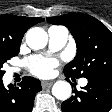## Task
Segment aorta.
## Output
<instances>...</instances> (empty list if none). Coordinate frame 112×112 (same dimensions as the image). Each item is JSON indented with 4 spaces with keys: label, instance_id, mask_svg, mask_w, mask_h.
Masks as SVG:
<instances>
[{
    "label": "aorta",
    "instance_id": "aorta-1",
    "mask_svg": "<svg viewBox=\"0 0 112 112\" xmlns=\"http://www.w3.org/2000/svg\"><path fill=\"white\" fill-rule=\"evenodd\" d=\"M47 42L48 34L40 27L31 28L26 33V43L32 49H42L47 45ZM71 92V85L67 81H57L52 87V94L61 101L69 99Z\"/></svg>",
    "mask_w": 112,
    "mask_h": 112
}]
</instances>
